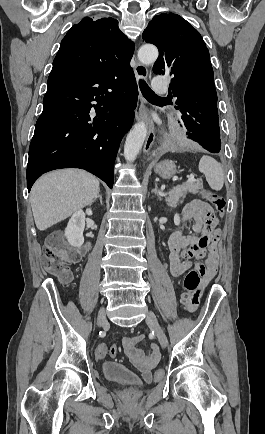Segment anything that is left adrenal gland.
<instances>
[{
	"label": "left adrenal gland",
	"mask_w": 265,
	"mask_h": 434,
	"mask_svg": "<svg viewBox=\"0 0 265 434\" xmlns=\"http://www.w3.org/2000/svg\"><path fill=\"white\" fill-rule=\"evenodd\" d=\"M152 192L153 194H156L158 200H162L163 196H160L157 184H155V188L152 190Z\"/></svg>",
	"instance_id": "left-adrenal-gland-1"
}]
</instances>
